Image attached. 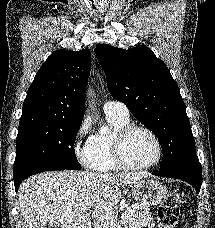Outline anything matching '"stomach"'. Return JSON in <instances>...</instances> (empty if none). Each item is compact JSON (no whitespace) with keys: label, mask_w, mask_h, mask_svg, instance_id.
<instances>
[{"label":"stomach","mask_w":215,"mask_h":228,"mask_svg":"<svg viewBox=\"0 0 215 228\" xmlns=\"http://www.w3.org/2000/svg\"><path fill=\"white\" fill-rule=\"evenodd\" d=\"M132 194L138 202H145L150 206H158L166 198L167 188L158 180L145 178L136 184H132Z\"/></svg>","instance_id":"0dacf381"}]
</instances>
